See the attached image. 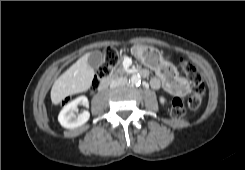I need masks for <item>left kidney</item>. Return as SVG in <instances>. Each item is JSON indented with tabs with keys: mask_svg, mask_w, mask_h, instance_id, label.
<instances>
[{
	"mask_svg": "<svg viewBox=\"0 0 245 170\" xmlns=\"http://www.w3.org/2000/svg\"><path fill=\"white\" fill-rule=\"evenodd\" d=\"M160 102H161L162 104H164V103H165V98H164V97H160Z\"/></svg>",
	"mask_w": 245,
	"mask_h": 170,
	"instance_id": "1",
	"label": "left kidney"
}]
</instances>
